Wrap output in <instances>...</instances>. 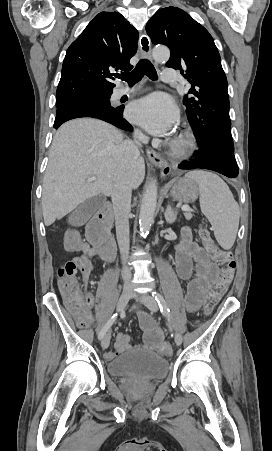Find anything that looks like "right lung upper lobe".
I'll return each mask as SVG.
<instances>
[{
  "label": "right lung upper lobe",
  "instance_id": "obj_1",
  "mask_svg": "<svg viewBox=\"0 0 272 451\" xmlns=\"http://www.w3.org/2000/svg\"><path fill=\"white\" fill-rule=\"evenodd\" d=\"M138 31L117 12H101L70 45L56 99L112 93L111 71L132 68Z\"/></svg>",
  "mask_w": 272,
  "mask_h": 451
}]
</instances>
